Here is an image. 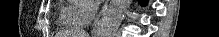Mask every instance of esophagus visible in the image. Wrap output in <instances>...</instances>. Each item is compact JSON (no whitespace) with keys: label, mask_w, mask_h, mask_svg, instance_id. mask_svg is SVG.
I'll return each instance as SVG.
<instances>
[{"label":"esophagus","mask_w":219,"mask_h":37,"mask_svg":"<svg viewBox=\"0 0 219 37\" xmlns=\"http://www.w3.org/2000/svg\"><path fill=\"white\" fill-rule=\"evenodd\" d=\"M112 0H107L105 4L103 5V8L101 9L100 13L96 17L93 27H92V35H97L100 32V27L103 21V18L106 16L108 13L109 9L111 8Z\"/></svg>","instance_id":"1"}]
</instances>
